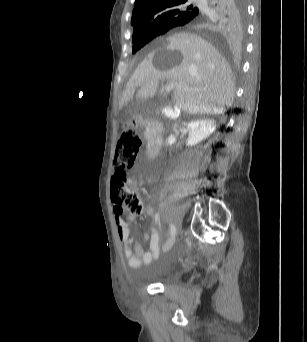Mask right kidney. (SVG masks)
I'll use <instances>...</instances> for the list:
<instances>
[{"label":"right kidney","instance_id":"1","mask_svg":"<svg viewBox=\"0 0 307 342\" xmlns=\"http://www.w3.org/2000/svg\"><path fill=\"white\" fill-rule=\"evenodd\" d=\"M187 130H189L187 146H195V144H199L202 140L209 138L212 132H215L216 124L213 120H193V122H188ZM167 144L169 146L176 144V136L170 134Z\"/></svg>","mask_w":307,"mask_h":342}]
</instances>
